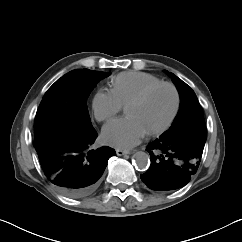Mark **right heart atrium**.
Here are the masks:
<instances>
[{
	"label": "right heart atrium",
	"instance_id": "right-heart-atrium-1",
	"mask_svg": "<svg viewBox=\"0 0 242 242\" xmlns=\"http://www.w3.org/2000/svg\"><path fill=\"white\" fill-rule=\"evenodd\" d=\"M122 102L112 89H99L92 99V111L98 121H107L121 111Z\"/></svg>",
	"mask_w": 242,
	"mask_h": 242
}]
</instances>
